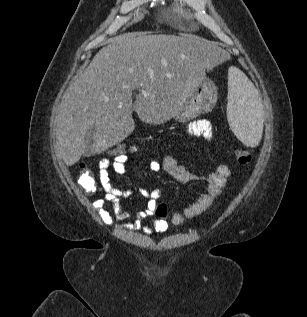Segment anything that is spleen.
Listing matches in <instances>:
<instances>
[{
	"instance_id": "1",
	"label": "spleen",
	"mask_w": 307,
	"mask_h": 317,
	"mask_svg": "<svg viewBox=\"0 0 307 317\" xmlns=\"http://www.w3.org/2000/svg\"><path fill=\"white\" fill-rule=\"evenodd\" d=\"M227 118L235 136L246 146L255 147L263 132V109L258 91L243 72H228Z\"/></svg>"
}]
</instances>
